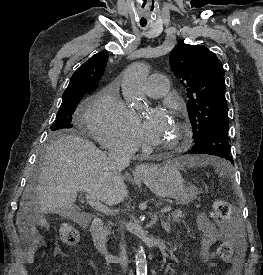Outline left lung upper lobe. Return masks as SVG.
Masks as SVG:
<instances>
[{
  "label": "left lung upper lobe",
  "instance_id": "obj_1",
  "mask_svg": "<svg viewBox=\"0 0 263 275\" xmlns=\"http://www.w3.org/2000/svg\"><path fill=\"white\" fill-rule=\"evenodd\" d=\"M169 62L187 91L194 142L215 127L229 124L224 69L215 54L204 46L180 42Z\"/></svg>",
  "mask_w": 263,
  "mask_h": 275
}]
</instances>
